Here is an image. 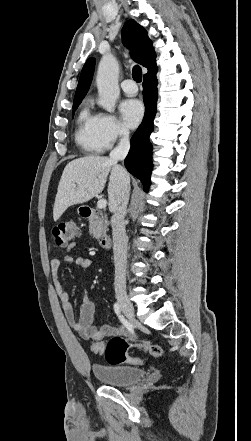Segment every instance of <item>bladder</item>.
<instances>
[{
    "instance_id": "31cf9c89",
    "label": "bladder",
    "mask_w": 251,
    "mask_h": 441,
    "mask_svg": "<svg viewBox=\"0 0 251 441\" xmlns=\"http://www.w3.org/2000/svg\"><path fill=\"white\" fill-rule=\"evenodd\" d=\"M91 369L99 382L112 387L128 386L145 375L143 369L133 366L93 364Z\"/></svg>"
}]
</instances>
